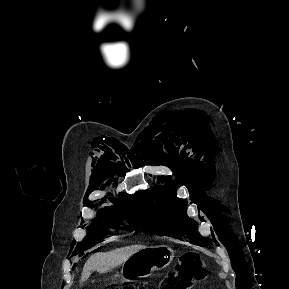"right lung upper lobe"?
<instances>
[{
  "label": "right lung upper lobe",
  "mask_w": 289,
  "mask_h": 289,
  "mask_svg": "<svg viewBox=\"0 0 289 289\" xmlns=\"http://www.w3.org/2000/svg\"><path fill=\"white\" fill-rule=\"evenodd\" d=\"M120 199L117 198H111L110 201L115 204V206L120 205L122 203H134L136 204V197L135 196H129L127 194H120Z\"/></svg>",
  "instance_id": "right-lung-upper-lobe-1"
}]
</instances>
